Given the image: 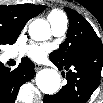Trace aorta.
<instances>
[{
  "instance_id": "1",
  "label": "aorta",
  "mask_w": 103,
  "mask_h": 103,
  "mask_svg": "<svg viewBox=\"0 0 103 103\" xmlns=\"http://www.w3.org/2000/svg\"><path fill=\"white\" fill-rule=\"evenodd\" d=\"M29 35L34 40H45L50 35V26L46 20L36 19L29 25ZM61 84L60 75L56 70L43 69L36 75V85L44 94H55Z\"/></svg>"
}]
</instances>
